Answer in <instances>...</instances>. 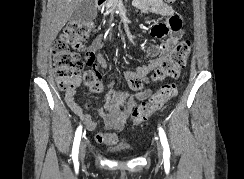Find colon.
<instances>
[{
    "instance_id": "1",
    "label": "colon",
    "mask_w": 244,
    "mask_h": 179,
    "mask_svg": "<svg viewBox=\"0 0 244 179\" xmlns=\"http://www.w3.org/2000/svg\"><path fill=\"white\" fill-rule=\"evenodd\" d=\"M172 3L173 0H168ZM94 31V25L90 21L83 22L82 26L68 24L59 35L53 47L55 76L59 87L66 91H73L81 83L94 94H99L103 90L99 74L80 52L83 49L81 41L89 38ZM164 32V29H161ZM191 50V44L187 40H182L175 44L168 59L165 60L156 77H169L178 79L182 68L185 66ZM151 80L145 77H133L130 79V88L134 92H140ZM177 93V85L174 82L164 84L150 98L136 106L131 117L135 124L141 125L165 104L170 102ZM109 108L115 115L120 111L121 106L116 101L113 93L106 94Z\"/></svg>"
}]
</instances>
